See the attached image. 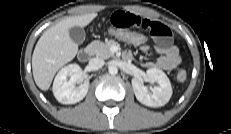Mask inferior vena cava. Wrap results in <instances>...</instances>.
<instances>
[{
  "instance_id": "obj_1",
  "label": "inferior vena cava",
  "mask_w": 231,
  "mask_h": 134,
  "mask_svg": "<svg viewBox=\"0 0 231 134\" xmlns=\"http://www.w3.org/2000/svg\"><path fill=\"white\" fill-rule=\"evenodd\" d=\"M104 64H105L104 60L102 58H98V57L92 58L89 61V66L94 70H97V69L103 67Z\"/></svg>"
}]
</instances>
